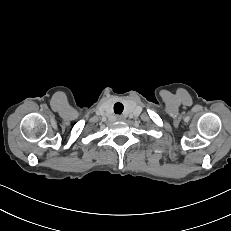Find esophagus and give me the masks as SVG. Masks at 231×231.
<instances>
[{
	"label": "esophagus",
	"instance_id": "obj_1",
	"mask_svg": "<svg viewBox=\"0 0 231 231\" xmlns=\"http://www.w3.org/2000/svg\"><path fill=\"white\" fill-rule=\"evenodd\" d=\"M117 120L121 121V120H123V117L122 116H118Z\"/></svg>",
	"mask_w": 231,
	"mask_h": 231
}]
</instances>
